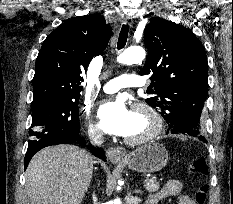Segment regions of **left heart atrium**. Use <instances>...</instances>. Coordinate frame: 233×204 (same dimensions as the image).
Listing matches in <instances>:
<instances>
[{
	"instance_id": "1",
	"label": "left heart atrium",
	"mask_w": 233,
	"mask_h": 204,
	"mask_svg": "<svg viewBox=\"0 0 233 204\" xmlns=\"http://www.w3.org/2000/svg\"><path fill=\"white\" fill-rule=\"evenodd\" d=\"M97 118L106 133L125 136L131 123V111L121 99L107 101L98 108Z\"/></svg>"
}]
</instances>
